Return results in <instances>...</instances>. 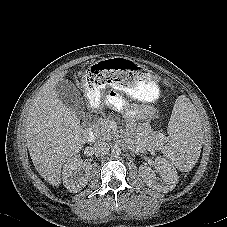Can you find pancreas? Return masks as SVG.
Here are the masks:
<instances>
[{"label": "pancreas", "mask_w": 227, "mask_h": 227, "mask_svg": "<svg viewBox=\"0 0 227 227\" xmlns=\"http://www.w3.org/2000/svg\"><path fill=\"white\" fill-rule=\"evenodd\" d=\"M95 134L99 139L111 140L114 136H116L117 132L115 129H112L110 120L103 119L97 124Z\"/></svg>", "instance_id": "pancreas-1"}]
</instances>
